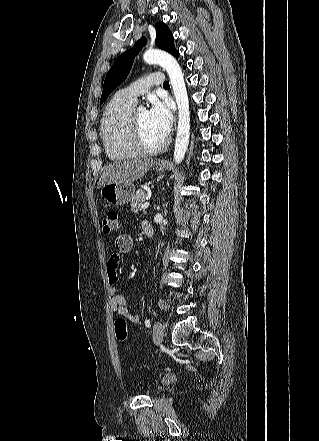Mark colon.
I'll return each mask as SVG.
<instances>
[{"label": "colon", "instance_id": "obj_1", "mask_svg": "<svg viewBox=\"0 0 319 441\" xmlns=\"http://www.w3.org/2000/svg\"><path fill=\"white\" fill-rule=\"evenodd\" d=\"M102 229L104 233H118L121 230V223L117 210H109L102 222ZM115 335L118 340L124 341L127 337L126 321L123 318H117L114 322Z\"/></svg>", "mask_w": 319, "mask_h": 441}]
</instances>
